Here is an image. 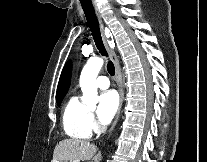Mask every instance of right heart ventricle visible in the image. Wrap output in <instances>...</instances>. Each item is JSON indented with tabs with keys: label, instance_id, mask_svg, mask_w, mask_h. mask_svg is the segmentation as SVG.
Returning a JSON list of instances; mask_svg holds the SVG:
<instances>
[{
	"label": "right heart ventricle",
	"instance_id": "1",
	"mask_svg": "<svg viewBox=\"0 0 207 162\" xmlns=\"http://www.w3.org/2000/svg\"><path fill=\"white\" fill-rule=\"evenodd\" d=\"M89 114V109L80 101L78 96H72L62 114V127L65 133L75 139H89L92 135Z\"/></svg>",
	"mask_w": 207,
	"mask_h": 162
}]
</instances>
